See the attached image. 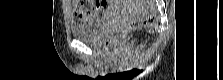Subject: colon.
I'll return each mask as SVG.
<instances>
[{"label":"colon","instance_id":"5ec220e1","mask_svg":"<svg viewBox=\"0 0 223 80\" xmlns=\"http://www.w3.org/2000/svg\"><path fill=\"white\" fill-rule=\"evenodd\" d=\"M72 2L78 3V4L83 3V2H80L79 0H73ZM155 21H156L155 15L154 14H148L145 17L138 20L137 22L127 23V24L123 25L121 28H119L116 31L115 36L121 37V36L125 35L126 33H128L129 31L135 29L136 27L150 26V25L154 24Z\"/></svg>","mask_w":223,"mask_h":80}]
</instances>
